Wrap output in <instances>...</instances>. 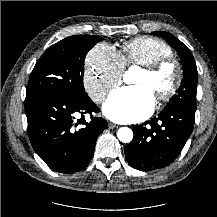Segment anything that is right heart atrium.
Masks as SVG:
<instances>
[{
	"mask_svg": "<svg viewBox=\"0 0 217 217\" xmlns=\"http://www.w3.org/2000/svg\"><path fill=\"white\" fill-rule=\"evenodd\" d=\"M123 72L124 66L113 47L95 45L85 59L83 84L86 92L95 103H102L121 83Z\"/></svg>",
	"mask_w": 217,
	"mask_h": 217,
	"instance_id": "obj_1",
	"label": "right heart atrium"
}]
</instances>
